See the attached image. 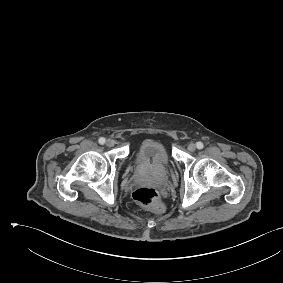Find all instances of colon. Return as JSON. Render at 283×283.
<instances>
[{
  "label": "colon",
  "mask_w": 283,
  "mask_h": 283,
  "mask_svg": "<svg viewBox=\"0 0 283 283\" xmlns=\"http://www.w3.org/2000/svg\"><path fill=\"white\" fill-rule=\"evenodd\" d=\"M132 197L137 204L154 213H162L164 211L160 194L152 187L138 188L133 192Z\"/></svg>",
  "instance_id": "colon-1"
}]
</instances>
